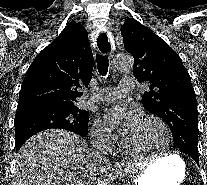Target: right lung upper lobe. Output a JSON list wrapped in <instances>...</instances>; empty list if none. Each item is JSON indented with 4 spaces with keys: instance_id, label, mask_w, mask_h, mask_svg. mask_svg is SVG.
<instances>
[{
    "instance_id": "cb5924a9",
    "label": "right lung upper lobe",
    "mask_w": 207,
    "mask_h": 185,
    "mask_svg": "<svg viewBox=\"0 0 207 185\" xmlns=\"http://www.w3.org/2000/svg\"><path fill=\"white\" fill-rule=\"evenodd\" d=\"M93 65L86 29L79 24L67 25L28 68L17 110L39 106L78 108L80 88L88 86Z\"/></svg>"
}]
</instances>
